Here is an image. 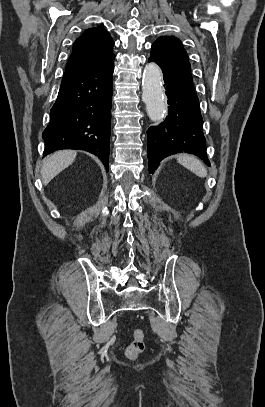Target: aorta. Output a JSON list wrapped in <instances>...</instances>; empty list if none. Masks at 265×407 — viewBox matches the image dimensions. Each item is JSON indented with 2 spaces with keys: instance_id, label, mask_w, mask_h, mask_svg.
<instances>
[{
  "instance_id": "aorta-1",
  "label": "aorta",
  "mask_w": 265,
  "mask_h": 407,
  "mask_svg": "<svg viewBox=\"0 0 265 407\" xmlns=\"http://www.w3.org/2000/svg\"><path fill=\"white\" fill-rule=\"evenodd\" d=\"M162 72L158 65L149 63L145 66L142 80V100L152 121H161L166 113L162 87Z\"/></svg>"
}]
</instances>
